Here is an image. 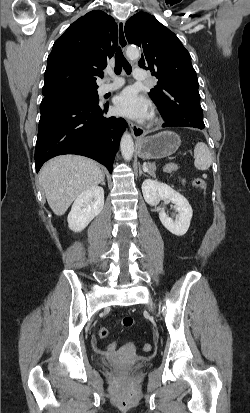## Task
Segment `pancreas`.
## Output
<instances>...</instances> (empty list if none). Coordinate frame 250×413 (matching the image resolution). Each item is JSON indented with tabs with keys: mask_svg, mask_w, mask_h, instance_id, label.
<instances>
[{
	"mask_svg": "<svg viewBox=\"0 0 250 413\" xmlns=\"http://www.w3.org/2000/svg\"><path fill=\"white\" fill-rule=\"evenodd\" d=\"M175 170V167L174 166H170V165H167V166H165V168H164V171L165 172H171V171H174ZM155 171H156V165H155V163H148V173L151 175V176H155Z\"/></svg>",
	"mask_w": 250,
	"mask_h": 413,
	"instance_id": "1",
	"label": "pancreas"
}]
</instances>
